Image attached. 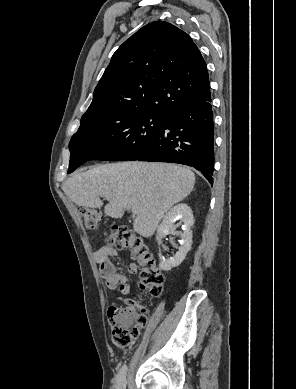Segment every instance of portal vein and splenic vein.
I'll list each match as a JSON object with an SVG mask.
<instances>
[{
	"mask_svg": "<svg viewBox=\"0 0 296 389\" xmlns=\"http://www.w3.org/2000/svg\"><path fill=\"white\" fill-rule=\"evenodd\" d=\"M108 199V198H107ZM133 214H136V210L134 208L131 209Z\"/></svg>",
	"mask_w": 296,
	"mask_h": 389,
	"instance_id": "obj_1",
	"label": "portal vein and splenic vein"
}]
</instances>
